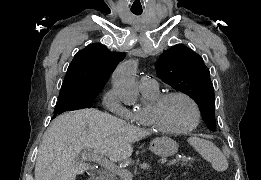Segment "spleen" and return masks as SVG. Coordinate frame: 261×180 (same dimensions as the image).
I'll list each match as a JSON object with an SVG mask.
<instances>
[{
	"label": "spleen",
	"mask_w": 261,
	"mask_h": 180,
	"mask_svg": "<svg viewBox=\"0 0 261 180\" xmlns=\"http://www.w3.org/2000/svg\"><path fill=\"white\" fill-rule=\"evenodd\" d=\"M188 144L193 146L194 150L199 152L204 160L210 162L216 172H225L227 170L228 162L223 152L215 144H212L209 140H203V138H188Z\"/></svg>",
	"instance_id": "1"
}]
</instances>
